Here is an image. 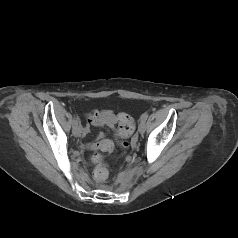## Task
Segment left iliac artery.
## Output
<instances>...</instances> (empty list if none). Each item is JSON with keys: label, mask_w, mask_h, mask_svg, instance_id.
<instances>
[{"label": "left iliac artery", "mask_w": 238, "mask_h": 238, "mask_svg": "<svg viewBox=\"0 0 238 238\" xmlns=\"http://www.w3.org/2000/svg\"><path fill=\"white\" fill-rule=\"evenodd\" d=\"M147 118H148V113L145 112V113H143L142 116H141V121H144V122H145V121L147 120Z\"/></svg>", "instance_id": "obj_1"}]
</instances>
